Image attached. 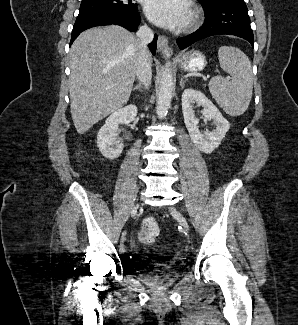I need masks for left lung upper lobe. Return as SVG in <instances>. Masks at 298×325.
Here are the masks:
<instances>
[{
  "label": "left lung upper lobe",
  "instance_id": "1",
  "mask_svg": "<svg viewBox=\"0 0 298 325\" xmlns=\"http://www.w3.org/2000/svg\"><path fill=\"white\" fill-rule=\"evenodd\" d=\"M205 8H208L212 5L222 2L223 0H199Z\"/></svg>",
  "mask_w": 298,
  "mask_h": 325
}]
</instances>
